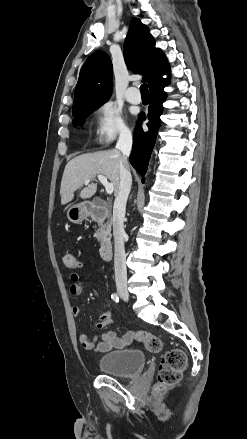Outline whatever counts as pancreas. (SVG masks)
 Segmentation results:
<instances>
[{"instance_id": "obj_1", "label": "pancreas", "mask_w": 247, "mask_h": 439, "mask_svg": "<svg viewBox=\"0 0 247 439\" xmlns=\"http://www.w3.org/2000/svg\"><path fill=\"white\" fill-rule=\"evenodd\" d=\"M110 233H111V221L99 225V228L96 231V238L98 241H102L106 239L108 236L110 237Z\"/></svg>"}]
</instances>
